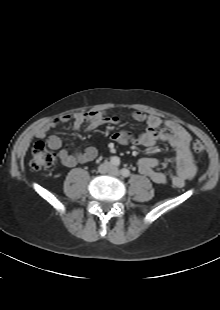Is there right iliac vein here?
I'll use <instances>...</instances> for the list:
<instances>
[{
    "mask_svg": "<svg viewBox=\"0 0 220 310\" xmlns=\"http://www.w3.org/2000/svg\"><path fill=\"white\" fill-rule=\"evenodd\" d=\"M110 164L109 163H104L100 166L99 171L102 173L110 171Z\"/></svg>",
    "mask_w": 220,
    "mask_h": 310,
    "instance_id": "obj_1",
    "label": "right iliac vein"
}]
</instances>
